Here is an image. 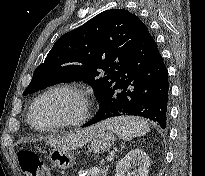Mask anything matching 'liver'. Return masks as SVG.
Here are the masks:
<instances>
[{
	"instance_id": "liver-1",
	"label": "liver",
	"mask_w": 205,
	"mask_h": 176,
	"mask_svg": "<svg viewBox=\"0 0 205 176\" xmlns=\"http://www.w3.org/2000/svg\"><path fill=\"white\" fill-rule=\"evenodd\" d=\"M90 134L91 128H87L70 133L61 139L50 140L48 143L55 148H61L65 150L77 149L88 142Z\"/></svg>"
}]
</instances>
